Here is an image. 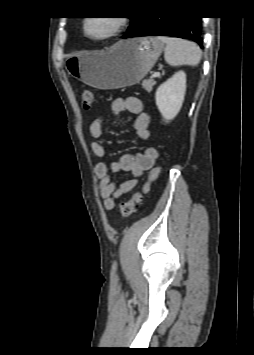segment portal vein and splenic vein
I'll return each instance as SVG.
<instances>
[{
    "label": "portal vein and splenic vein",
    "mask_w": 254,
    "mask_h": 355,
    "mask_svg": "<svg viewBox=\"0 0 254 355\" xmlns=\"http://www.w3.org/2000/svg\"><path fill=\"white\" fill-rule=\"evenodd\" d=\"M160 76V72H155L152 74V78H155V77H159Z\"/></svg>",
    "instance_id": "obj_1"
}]
</instances>
